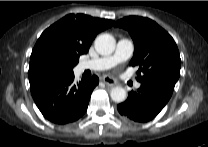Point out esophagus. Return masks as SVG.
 <instances>
[{"instance_id":"obj_1","label":"esophagus","mask_w":208,"mask_h":147,"mask_svg":"<svg viewBox=\"0 0 208 147\" xmlns=\"http://www.w3.org/2000/svg\"><path fill=\"white\" fill-rule=\"evenodd\" d=\"M102 81L108 86H115L117 84L116 80L110 76H104Z\"/></svg>"}]
</instances>
